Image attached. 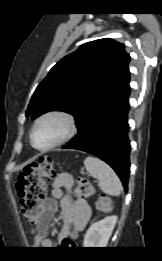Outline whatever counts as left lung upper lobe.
Wrapping results in <instances>:
<instances>
[{
	"mask_svg": "<svg viewBox=\"0 0 162 261\" xmlns=\"http://www.w3.org/2000/svg\"><path fill=\"white\" fill-rule=\"evenodd\" d=\"M130 55L108 38L83 44L61 59L36 88L26 116L48 111L72 114L77 128L130 80Z\"/></svg>",
	"mask_w": 162,
	"mask_h": 261,
	"instance_id": "left-lung-upper-lobe-1",
	"label": "left lung upper lobe"
}]
</instances>
